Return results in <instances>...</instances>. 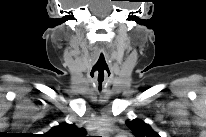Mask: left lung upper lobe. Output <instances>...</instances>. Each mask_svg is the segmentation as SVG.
I'll return each instance as SVG.
<instances>
[{
    "mask_svg": "<svg viewBox=\"0 0 206 137\" xmlns=\"http://www.w3.org/2000/svg\"><path fill=\"white\" fill-rule=\"evenodd\" d=\"M126 125L133 132L135 137H160L149 124L139 119L127 120Z\"/></svg>",
    "mask_w": 206,
    "mask_h": 137,
    "instance_id": "obj_1",
    "label": "left lung upper lobe"
}]
</instances>
